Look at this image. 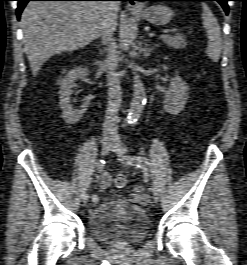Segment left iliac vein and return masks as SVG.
Instances as JSON below:
<instances>
[{
    "instance_id": "left-iliac-vein-1",
    "label": "left iliac vein",
    "mask_w": 247,
    "mask_h": 265,
    "mask_svg": "<svg viewBox=\"0 0 247 265\" xmlns=\"http://www.w3.org/2000/svg\"><path fill=\"white\" fill-rule=\"evenodd\" d=\"M112 150L116 152L118 156L125 162V158L127 157V148L124 146V144L120 140L118 139L114 140V145L112 147ZM152 194H153L155 202H158L159 192L155 187L152 189Z\"/></svg>"
}]
</instances>
